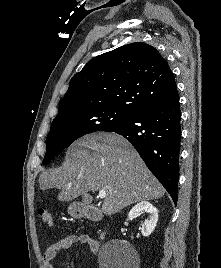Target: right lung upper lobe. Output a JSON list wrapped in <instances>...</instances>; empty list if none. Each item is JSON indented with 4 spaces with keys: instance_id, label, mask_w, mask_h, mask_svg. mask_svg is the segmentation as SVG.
I'll return each mask as SVG.
<instances>
[{
    "instance_id": "right-lung-upper-lobe-1",
    "label": "right lung upper lobe",
    "mask_w": 221,
    "mask_h": 268,
    "mask_svg": "<svg viewBox=\"0 0 221 268\" xmlns=\"http://www.w3.org/2000/svg\"><path fill=\"white\" fill-rule=\"evenodd\" d=\"M178 97L166 61L152 46L137 42L89 61L71 79L57 116L109 110L132 118Z\"/></svg>"
}]
</instances>
